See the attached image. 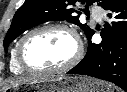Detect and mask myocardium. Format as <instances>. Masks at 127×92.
Instances as JSON below:
<instances>
[{"instance_id": "1", "label": "myocardium", "mask_w": 127, "mask_h": 92, "mask_svg": "<svg viewBox=\"0 0 127 92\" xmlns=\"http://www.w3.org/2000/svg\"><path fill=\"white\" fill-rule=\"evenodd\" d=\"M48 30H62L69 33L75 41L76 51L74 55L72 56V58L61 67L52 68V69L33 68L25 60V56H24L25 46L32 37ZM81 56H82V44L77 32L71 26L62 24V23H50V24H46L29 31L19 40L16 47L17 63L25 72L31 73V74H56V73L67 72L68 70L72 69L80 61Z\"/></svg>"}]
</instances>
